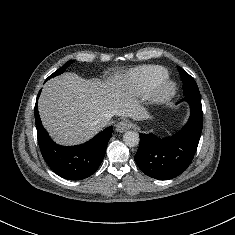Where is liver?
I'll use <instances>...</instances> for the list:
<instances>
[{"instance_id":"1","label":"liver","mask_w":235,"mask_h":235,"mask_svg":"<svg viewBox=\"0 0 235 235\" xmlns=\"http://www.w3.org/2000/svg\"><path fill=\"white\" fill-rule=\"evenodd\" d=\"M43 126L61 145L81 144L101 130L105 116L145 118L131 90L115 75L105 82L90 81L74 73L57 76L43 87L38 101Z\"/></svg>"}]
</instances>
